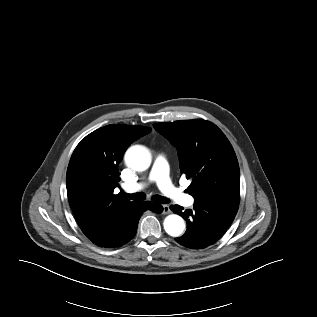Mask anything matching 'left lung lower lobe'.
Masks as SVG:
<instances>
[{
  "instance_id": "0a47b994",
  "label": "left lung lower lobe",
  "mask_w": 317,
  "mask_h": 317,
  "mask_svg": "<svg viewBox=\"0 0 317 317\" xmlns=\"http://www.w3.org/2000/svg\"><path fill=\"white\" fill-rule=\"evenodd\" d=\"M171 210L187 223L186 233L175 240L191 249H203L217 242L234 220L238 206L210 201H195L193 210L178 205Z\"/></svg>"
}]
</instances>
